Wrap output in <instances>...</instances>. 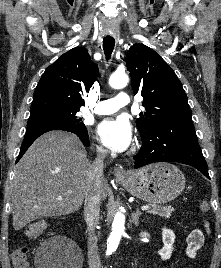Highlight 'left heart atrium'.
Wrapping results in <instances>:
<instances>
[{
  "instance_id": "left-heart-atrium-1",
  "label": "left heart atrium",
  "mask_w": 221,
  "mask_h": 268,
  "mask_svg": "<svg viewBox=\"0 0 221 268\" xmlns=\"http://www.w3.org/2000/svg\"><path fill=\"white\" fill-rule=\"evenodd\" d=\"M101 142L110 150L123 152L133 141L132 127L125 118L106 119L97 128Z\"/></svg>"
}]
</instances>
